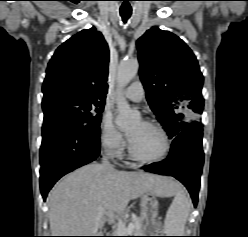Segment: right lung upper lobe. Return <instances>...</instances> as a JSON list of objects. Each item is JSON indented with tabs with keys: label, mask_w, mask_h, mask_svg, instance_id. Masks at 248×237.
<instances>
[{
	"label": "right lung upper lobe",
	"mask_w": 248,
	"mask_h": 237,
	"mask_svg": "<svg viewBox=\"0 0 248 237\" xmlns=\"http://www.w3.org/2000/svg\"><path fill=\"white\" fill-rule=\"evenodd\" d=\"M108 62V44L94 27L72 36L49 61L42 102L62 96L104 101Z\"/></svg>",
	"instance_id": "cb5924a9"
}]
</instances>
